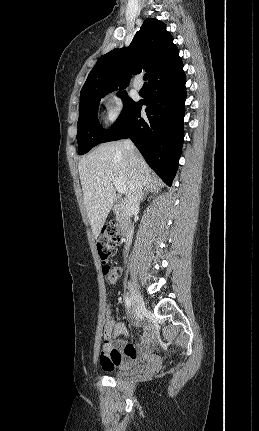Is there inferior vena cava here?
I'll list each match as a JSON object with an SVG mask.
<instances>
[{
    "instance_id": "602c4592",
    "label": "inferior vena cava",
    "mask_w": 259,
    "mask_h": 431,
    "mask_svg": "<svg viewBox=\"0 0 259 431\" xmlns=\"http://www.w3.org/2000/svg\"><path fill=\"white\" fill-rule=\"evenodd\" d=\"M124 147L128 153L130 165L134 169L135 176H136L134 185L125 199L126 215L129 217H132L133 212L139 207V202L142 196V184L140 181V177L137 173V158L135 154L134 144L132 143L131 140L127 139L124 141ZM133 233H134V227L133 225H131L126 234V239H127L126 246H125L126 251L128 250L129 246L132 243Z\"/></svg>"
}]
</instances>
